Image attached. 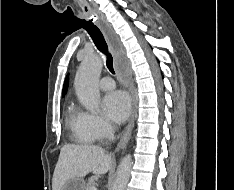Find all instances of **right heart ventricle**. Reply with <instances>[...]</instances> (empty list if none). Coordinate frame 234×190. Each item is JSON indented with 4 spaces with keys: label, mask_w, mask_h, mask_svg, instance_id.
Masks as SVG:
<instances>
[{
    "label": "right heart ventricle",
    "mask_w": 234,
    "mask_h": 190,
    "mask_svg": "<svg viewBox=\"0 0 234 190\" xmlns=\"http://www.w3.org/2000/svg\"><path fill=\"white\" fill-rule=\"evenodd\" d=\"M66 123L72 138L76 142L84 144H92L96 142V137L83 121L82 112L75 108L74 105H70L67 109Z\"/></svg>",
    "instance_id": "obj_1"
}]
</instances>
